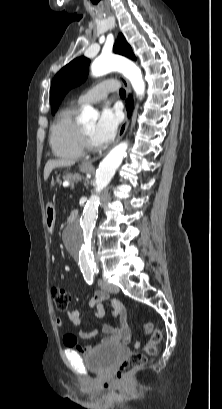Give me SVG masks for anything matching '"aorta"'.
Instances as JSON below:
<instances>
[{
    "instance_id": "aorta-1",
    "label": "aorta",
    "mask_w": 222,
    "mask_h": 409,
    "mask_svg": "<svg viewBox=\"0 0 222 409\" xmlns=\"http://www.w3.org/2000/svg\"><path fill=\"white\" fill-rule=\"evenodd\" d=\"M91 71L95 77L102 76L111 71L121 72L130 80L137 95L142 96L144 94L145 83L141 70L124 57L115 55L100 56L92 63ZM82 118L85 122L94 121L96 112L92 107L86 106L83 110ZM127 147V142L120 143L101 161L96 174L95 193L89 198L81 219L68 229V248L79 259V263L84 269L89 268L93 270L96 266L93 241L100 200L99 194L109 184L116 170L121 165L126 155Z\"/></svg>"
}]
</instances>
